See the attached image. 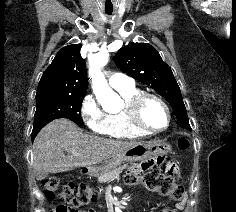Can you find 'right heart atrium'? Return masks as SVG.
<instances>
[{
	"mask_svg": "<svg viewBox=\"0 0 236 212\" xmlns=\"http://www.w3.org/2000/svg\"><path fill=\"white\" fill-rule=\"evenodd\" d=\"M81 117L85 124L98 134H104L107 116L92 95H86L81 103Z\"/></svg>",
	"mask_w": 236,
	"mask_h": 212,
	"instance_id": "obj_1",
	"label": "right heart atrium"
}]
</instances>
